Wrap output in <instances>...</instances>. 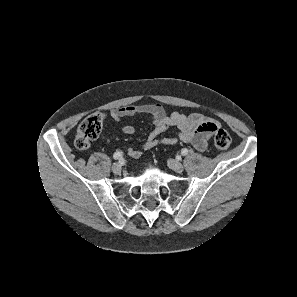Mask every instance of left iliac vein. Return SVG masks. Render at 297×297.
Returning a JSON list of instances; mask_svg holds the SVG:
<instances>
[{"instance_id": "1", "label": "left iliac vein", "mask_w": 297, "mask_h": 297, "mask_svg": "<svg viewBox=\"0 0 297 297\" xmlns=\"http://www.w3.org/2000/svg\"><path fill=\"white\" fill-rule=\"evenodd\" d=\"M168 164H169V167L177 173H182L184 170L183 165L176 160L170 159L168 161Z\"/></svg>"}]
</instances>
